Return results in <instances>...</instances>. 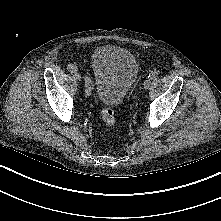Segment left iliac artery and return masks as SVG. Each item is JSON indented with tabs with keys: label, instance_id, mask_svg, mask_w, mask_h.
<instances>
[{
	"label": "left iliac artery",
	"instance_id": "1",
	"mask_svg": "<svg viewBox=\"0 0 221 221\" xmlns=\"http://www.w3.org/2000/svg\"><path fill=\"white\" fill-rule=\"evenodd\" d=\"M157 77H158V73L156 71H153L148 75V78H150L152 80L156 79Z\"/></svg>",
	"mask_w": 221,
	"mask_h": 221
}]
</instances>
